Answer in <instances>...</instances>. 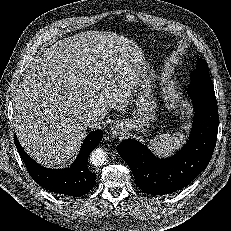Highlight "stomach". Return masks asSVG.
<instances>
[{
	"label": "stomach",
	"instance_id": "0dacf381",
	"mask_svg": "<svg viewBox=\"0 0 231 231\" xmlns=\"http://www.w3.org/2000/svg\"><path fill=\"white\" fill-rule=\"evenodd\" d=\"M155 70L145 61L135 69L133 94L135 108L133 116L122 122L127 131L146 134L156 120L157 101L154 93Z\"/></svg>",
	"mask_w": 231,
	"mask_h": 231
}]
</instances>
